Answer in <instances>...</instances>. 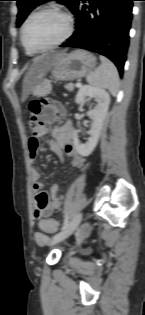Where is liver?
<instances>
[{
    "mask_svg": "<svg viewBox=\"0 0 145 315\" xmlns=\"http://www.w3.org/2000/svg\"><path fill=\"white\" fill-rule=\"evenodd\" d=\"M64 53H53L36 58L23 80L22 100H26L31 91L47 74L56 60Z\"/></svg>",
    "mask_w": 145,
    "mask_h": 315,
    "instance_id": "liver-1",
    "label": "liver"
}]
</instances>
